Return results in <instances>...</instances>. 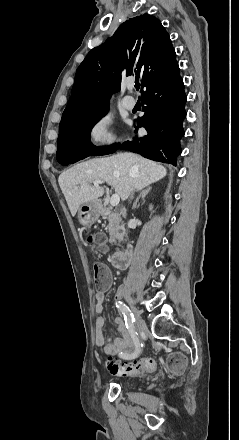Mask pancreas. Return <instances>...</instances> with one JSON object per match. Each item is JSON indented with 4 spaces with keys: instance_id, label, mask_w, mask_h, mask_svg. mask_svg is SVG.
<instances>
[{
    "instance_id": "pancreas-1",
    "label": "pancreas",
    "mask_w": 239,
    "mask_h": 440,
    "mask_svg": "<svg viewBox=\"0 0 239 440\" xmlns=\"http://www.w3.org/2000/svg\"><path fill=\"white\" fill-rule=\"evenodd\" d=\"M103 210V208H102ZM107 208H104V212H102V216L104 220H108L109 224L107 226L109 232V242L112 246H119V242L123 240L124 226L122 222V218H120V214H116V212H106Z\"/></svg>"
}]
</instances>
